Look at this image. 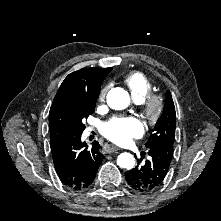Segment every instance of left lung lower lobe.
Returning a JSON list of instances; mask_svg holds the SVG:
<instances>
[{
	"mask_svg": "<svg viewBox=\"0 0 221 221\" xmlns=\"http://www.w3.org/2000/svg\"><path fill=\"white\" fill-rule=\"evenodd\" d=\"M151 160L126 172L125 178L132 189L146 193L157 189L165 179L173 153L163 147L148 149Z\"/></svg>",
	"mask_w": 221,
	"mask_h": 221,
	"instance_id": "obj_1",
	"label": "left lung lower lobe"
}]
</instances>
